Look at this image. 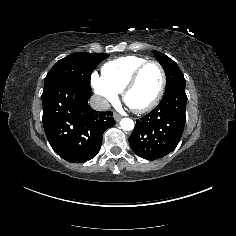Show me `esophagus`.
Instances as JSON below:
<instances>
[{
    "mask_svg": "<svg viewBox=\"0 0 236 236\" xmlns=\"http://www.w3.org/2000/svg\"><path fill=\"white\" fill-rule=\"evenodd\" d=\"M113 117H114L116 122H119V120L122 118V116L118 113H114Z\"/></svg>",
    "mask_w": 236,
    "mask_h": 236,
    "instance_id": "obj_1",
    "label": "esophagus"
}]
</instances>
